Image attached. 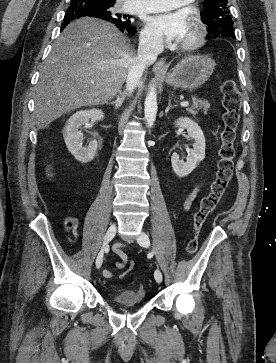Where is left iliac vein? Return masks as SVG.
Masks as SVG:
<instances>
[{"instance_id":"left-iliac-vein-1","label":"left iliac vein","mask_w":276,"mask_h":363,"mask_svg":"<svg viewBox=\"0 0 276 363\" xmlns=\"http://www.w3.org/2000/svg\"><path fill=\"white\" fill-rule=\"evenodd\" d=\"M137 240H138L139 245L142 246V247L147 248L150 245L149 237L145 232H142ZM154 277H155V280L158 283L162 282L163 277H162V273H161V271L159 269L155 270Z\"/></svg>"}]
</instances>
